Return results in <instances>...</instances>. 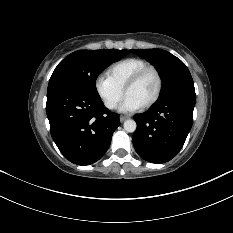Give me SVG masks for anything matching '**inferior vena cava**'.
<instances>
[{"instance_id":"1","label":"inferior vena cava","mask_w":233,"mask_h":233,"mask_svg":"<svg viewBox=\"0 0 233 233\" xmlns=\"http://www.w3.org/2000/svg\"><path fill=\"white\" fill-rule=\"evenodd\" d=\"M114 106H115L114 104H111L109 107H110V108H113Z\"/></svg>"}]
</instances>
